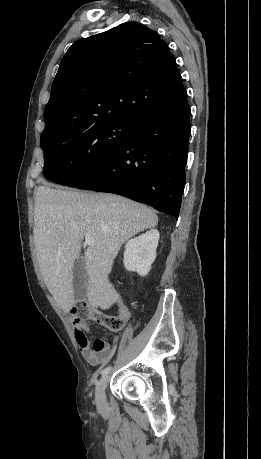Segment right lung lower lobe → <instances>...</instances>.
<instances>
[{
  "label": "right lung lower lobe",
  "instance_id": "obj_1",
  "mask_svg": "<svg viewBox=\"0 0 261 459\" xmlns=\"http://www.w3.org/2000/svg\"><path fill=\"white\" fill-rule=\"evenodd\" d=\"M185 91L164 109L138 120L111 158L68 185L110 192L179 215L191 126Z\"/></svg>",
  "mask_w": 261,
  "mask_h": 459
}]
</instances>
